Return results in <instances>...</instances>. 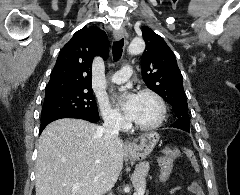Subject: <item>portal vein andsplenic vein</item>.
<instances>
[{"label": "portal vein and splenic vein", "mask_w": 240, "mask_h": 195, "mask_svg": "<svg viewBox=\"0 0 240 195\" xmlns=\"http://www.w3.org/2000/svg\"><path fill=\"white\" fill-rule=\"evenodd\" d=\"M80 185L79 183H72V189L73 191H77V189H79ZM136 195H144V189L139 185L136 191Z\"/></svg>", "instance_id": "obj_1"}]
</instances>
